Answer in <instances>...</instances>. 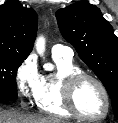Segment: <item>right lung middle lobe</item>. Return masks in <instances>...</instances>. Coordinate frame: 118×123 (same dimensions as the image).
I'll list each match as a JSON object with an SVG mask.
<instances>
[{
	"label": "right lung middle lobe",
	"instance_id": "dd1d6c3e",
	"mask_svg": "<svg viewBox=\"0 0 118 123\" xmlns=\"http://www.w3.org/2000/svg\"><path fill=\"white\" fill-rule=\"evenodd\" d=\"M25 57L0 54V99H17L16 74Z\"/></svg>",
	"mask_w": 118,
	"mask_h": 123
}]
</instances>
